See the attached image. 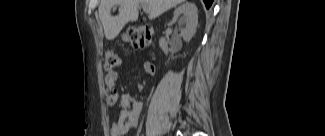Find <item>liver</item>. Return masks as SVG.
<instances>
[{"instance_id":"liver-1","label":"liver","mask_w":325,"mask_h":136,"mask_svg":"<svg viewBox=\"0 0 325 136\" xmlns=\"http://www.w3.org/2000/svg\"><path fill=\"white\" fill-rule=\"evenodd\" d=\"M184 0H101L99 16L105 36L108 40L115 39L126 23L138 19V5L142 3L149 9V19H155L171 7ZM114 5H119V14L111 15Z\"/></svg>"}]
</instances>
